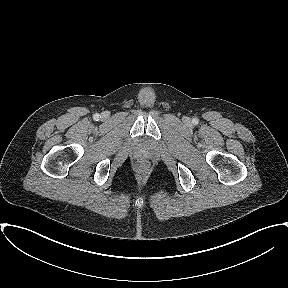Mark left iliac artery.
<instances>
[{"label":"left iliac artery","mask_w":288,"mask_h":288,"mask_svg":"<svg viewBox=\"0 0 288 288\" xmlns=\"http://www.w3.org/2000/svg\"><path fill=\"white\" fill-rule=\"evenodd\" d=\"M193 123H194V124H197V123H198V119H197V118H194V119H193Z\"/></svg>","instance_id":"obj_1"}]
</instances>
